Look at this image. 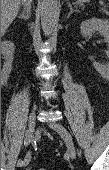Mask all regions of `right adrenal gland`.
Here are the masks:
<instances>
[{"label": "right adrenal gland", "instance_id": "1", "mask_svg": "<svg viewBox=\"0 0 109 170\" xmlns=\"http://www.w3.org/2000/svg\"><path fill=\"white\" fill-rule=\"evenodd\" d=\"M30 16V11L29 8H25L24 11L22 12V14L20 16H18L19 19H28Z\"/></svg>", "mask_w": 109, "mask_h": 170}]
</instances>
